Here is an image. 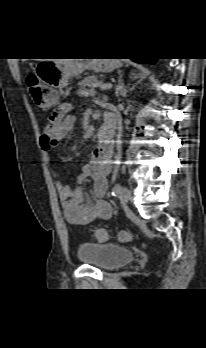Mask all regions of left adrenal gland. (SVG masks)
<instances>
[{"mask_svg": "<svg viewBox=\"0 0 206 348\" xmlns=\"http://www.w3.org/2000/svg\"><path fill=\"white\" fill-rule=\"evenodd\" d=\"M125 94V88L124 84L122 82V79L119 80L118 86L116 88V95H124Z\"/></svg>", "mask_w": 206, "mask_h": 348, "instance_id": "left-adrenal-gland-1", "label": "left adrenal gland"}]
</instances>
